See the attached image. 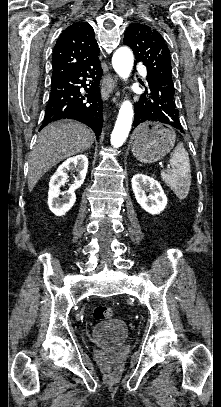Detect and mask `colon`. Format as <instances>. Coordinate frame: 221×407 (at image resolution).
I'll use <instances>...</instances> for the list:
<instances>
[{"label": "colon", "mask_w": 221, "mask_h": 407, "mask_svg": "<svg viewBox=\"0 0 221 407\" xmlns=\"http://www.w3.org/2000/svg\"><path fill=\"white\" fill-rule=\"evenodd\" d=\"M114 316L113 309L108 306H96L93 311V317L96 321L102 322L106 320H111ZM112 368L109 367V372Z\"/></svg>", "instance_id": "5ec220e1"}]
</instances>
